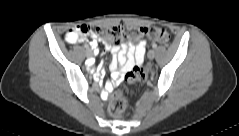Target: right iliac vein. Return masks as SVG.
<instances>
[{"label": "right iliac vein", "instance_id": "1", "mask_svg": "<svg viewBox=\"0 0 239 136\" xmlns=\"http://www.w3.org/2000/svg\"><path fill=\"white\" fill-rule=\"evenodd\" d=\"M86 55H87L88 57H91V56L93 55L92 50H91V49H88V50L86 51Z\"/></svg>", "mask_w": 239, "mask_h": 136}]
</instances>
